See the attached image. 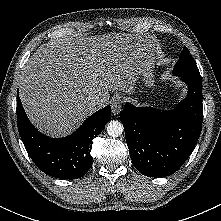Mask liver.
<instances>
[{"label":"liver","mask_w":221,"mask_h":221,"mask_svg":"<svg viewBox=\"0 0 221 221\" xmlns=\"http://www.w3.org/2000/svg\"><path fill=\"white\" fill-rule=\"evenodd\" d=\"M144 36L110 33L63 37L42 44L22 69L19 96L32 123L50 136L70 134L110 92L133 89L155 63V47ZM101 106V107H102Z\"/></svg>","instance_id":"liver-1"}]
</instances>
